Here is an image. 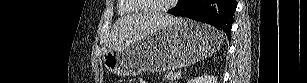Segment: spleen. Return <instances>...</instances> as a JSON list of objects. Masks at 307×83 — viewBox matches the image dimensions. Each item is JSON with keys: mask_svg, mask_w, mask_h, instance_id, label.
I'll return each mask as SVG.
<instances>
[{"mask_svg": "<svg viewBox=\"0 0 307 83\" xmlns=\"http://www.w3.org/2000/svg\"><path fill=\"white\" fill-rule=\"evenodd\" d=\"M218 38L220 39V42H222V41L224 40V35H223V33L219 32Z\"/></svg>", "mask_w": 307, "mask_h": 83, "instance_id": "3e777b00", "label": "spleen"}]
</instances>
